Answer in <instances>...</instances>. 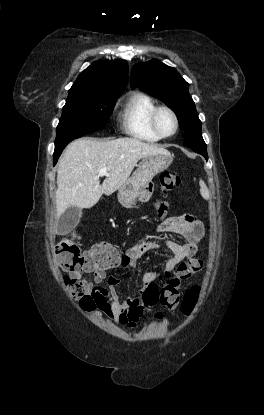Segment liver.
Listing matches in <instances>:
<instances>
[{"mask_svg":"<svg viewBox=\"0 0 264 415\" xmlns=\"http://www.w3.org/2000/svg\"><path fill=\"white\" fill-rule=\"evenodd\" d=\"M168 153L164 148L134 138L109 141L83 138L71 142L58 164L56 217L71 206L93 207L103 194L111 195L128 180L140 159ZM101 168H107L108 175L100 185Z\"/></svg>","mask_w":264,"mask_h":415,"instance_id":"6515ba94","label":"liver"}]
</instances>
